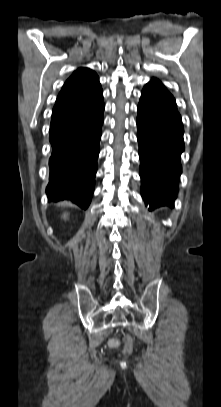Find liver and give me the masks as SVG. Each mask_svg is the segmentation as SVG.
I'll list each match as a JSON object with an SVG mask.
<instances>
[{
  "label": "liver",
  "instance_id": "1",
  "mask_svg": "<svg viewBox=\"0 0 221 407\" xmlns=\"http://www.w3.org/2000/svg\"><path fill=\"white\" fill-rule=\"evenodd\" d=\"M67 217H68V214L65 213V214L63 215V218H64V219H67Z\"/></svg>",
  "mask_w": 221,
  "mask_h": 407
}]
</instances>
